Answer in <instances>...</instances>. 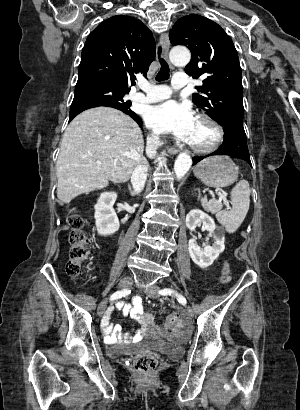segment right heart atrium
<instances>
[{"label":"right heart atrium","instance_id":"obj_1","mask_svg":"<svg viewBox=\"0 0 300 410\" xmlns=\"http://www.w3.org/2000/svg\"><path fill=\"white\" fill-rule=\"evenodd\" d=\"M149 143H150V146H151L152 148L158 147L159 145H161V138H160V136L157 135V134H155V133H151V134L149 135Z\"/></svg>","mask_w":300,"mask_h":410}]
</instances>
